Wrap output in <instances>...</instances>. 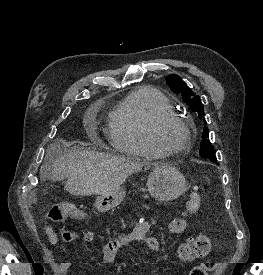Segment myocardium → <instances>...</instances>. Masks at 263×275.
Listing matches in <instances>:
<instances>
[{"label": "myocardium", "mask_w": 263, "mask_h": 275, "mask_svg": "<svg viewBox=\"0 0 263 275\" xmlns=\"http://www.w3.org/2000/svg\"><path fill=\"white\" fill-rule=\"evenodd\" d=\"M168 123H177L185 131V137L183 141L175 146L168 147L161 143L158 138L159 130ZM148 140L153 149L160 155L168 156L175 155L185 150L192 140V126L189 119L184 118L175 112H164L158 115L151 123L148 129Z\"/></svg>", "instance_id": "1"}]
</instances>
